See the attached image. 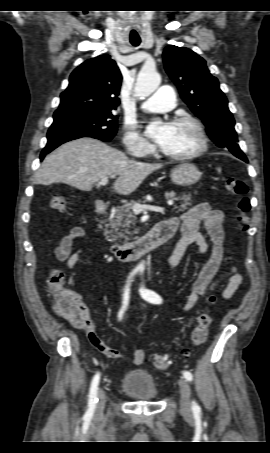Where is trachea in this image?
Here are the masks:
<instances>
[{
	"mask_svg": "<svg viewBox=\"0 0 270 453\" xmlns=\"http://www.w3.org/2000/svg\"><path fill=\"white\" fill-rule=\"evenodd\" d=\"M133 46H139L140 45V41H131L130 42Z\"/></svg>",
	"mask_w": 270,
	"mask_h": 453,
	"instance_id": "1",
	"label": "trachea"
}]
</instances>
